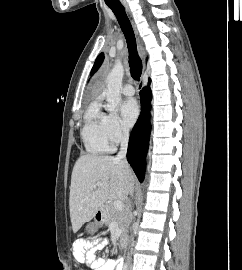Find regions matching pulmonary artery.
I'll use <instances>...</instances> for the list:
<instances>
[{"mask_svg":"<svg viewBox=\"0 0 242 270\" xmlns=\"http://www.w3.org/2000/svg\"><path fill=\"white\" fill-rule=\"evenodd\" d=\"M121 92H122L125 96H132V95H134V93H135V89H134V87H133L132 85L127 84V85H125V86L122 88Z\"/></svg>","mask_w":242,"mask_h":270,"instance_id":"e3ab8cb5","label":"pulmonary artery"}]
</instances>
